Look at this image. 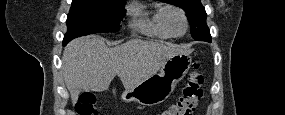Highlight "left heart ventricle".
Wrapping results in <instances>:
<instances>
[{"label": "left heart ventricle", "mask_w": 285, "mask_h": 115, "mask_svg": "<svg viewBox=\"0 0 285 115\" xmlns=\"http://www.w3.org/2000/svg\"><path fill=\"white\" fill-rule=\"evenodd\" d=\"M166 20L172 32L181 33L184 30V22L179 12L169 11Z\"/></svg>", "instance_id": "obj_1"}]
</instances>
